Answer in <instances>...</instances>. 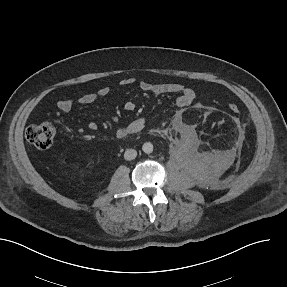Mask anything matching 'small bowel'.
I'll list each match as a JSON object with an SVG mask.
<instances>
[{"label":"small bowel","mask_w":287,"mask_h":287,"mask_svg":"<svg viewBox=\"0 0 287 287\" xmlns=\"http://www.w3.org/2000/svg\"><path fill=\"white\" fill-rule=\"evenodd\" d=\"M134 78H125L120 82L121 86H128L134 83ZM139 86L143 91L150 92L153 94H175L176 99L175 103L178 107H186L190 105L196 97V93L192 88L185 86L180 82H172V83H151L149 81H140ZM110 89L108 87L100 88L96 93H86L83 94L77 100L78 103L81 104H91L95 102L99 97H103L108 95ZM76 103L73 99H63L58 101L57 108L62 112L70 111L74 104ZM135 108V104L131 101L125 103V109L128 111H132ZM147 120L145 117H139L127 125L119 126L115 130V135L118 138H125L132 134H137L144 130L146 127ZM88 128L91 131H95L98 128L97 123L90 122L88 124Z\"/></svg>","instance_id":"c3829d8e"}]
</instances>
